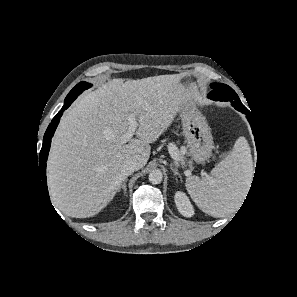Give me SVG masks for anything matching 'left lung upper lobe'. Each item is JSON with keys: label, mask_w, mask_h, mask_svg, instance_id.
<instances>
[{"label": "left lung upper lobe", "mask_w": 297, "mask_h": 297, "mask_svg": "<svg viewBox=\"0 0 297 297\" xmlns=\"http://www.w3.org/2000/svg\"><path fill=\"white\" fill-rule=\"evenodd\" d=\"M213 89L209 94L208 98L219 101H229L231 104L236 107L247 109L240 101L236 92L226 84L222 83H213L211 84Z\"/></svg>", "instance_id": "obj_1"}]
</instances>
